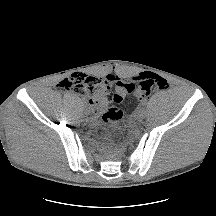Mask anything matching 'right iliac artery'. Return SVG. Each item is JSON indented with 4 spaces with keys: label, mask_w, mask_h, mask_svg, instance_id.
<instances>
[{
    "label": "right iliac artery",
    "mask_w": 216,
    "mask_h": 216,
    "mask_svg": "<svg viewBox=\"0 0 216 216\" xmlns=\"http://www.w3.org/2000/svg\"><path fill=\"white\" fill-rule=\"evenodd\" d=\"M79 104H80V108L83 109L84 111L87 109V106L82 101Z\"/></svg>",
    "instance_id": "82829eb1"
}]
</instances>
